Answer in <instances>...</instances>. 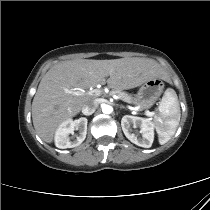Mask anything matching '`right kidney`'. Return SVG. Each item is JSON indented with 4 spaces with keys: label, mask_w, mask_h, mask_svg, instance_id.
<instances>
[{
    "label": "right kidney",
    "mask_w": 210,
    "mask_h": 210,
    "mask_svg": "<svg viewBox=\"0 0 210 210\" xmlns=\"http://www.w3.org/2000/svg\"><path fill=\"white\" fill-rule=\"evenodd\" d=\"M87 119L82 117L77 120L68 119L63 122L55 133V145L60 149L73 148L79 146L86 138ZM77 130L78 134L75 138H70V134H74Z\"/></svg>",
    "instance_id": "1"
}]
</instances>
